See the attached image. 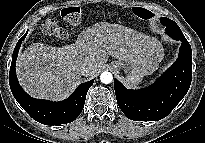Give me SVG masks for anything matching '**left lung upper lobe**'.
Masks as SVG:
<instances>
[{
    "instance_id": "obj_1",
    "label": "left lung upper lobe",
    "mask_w": 205,
    "mask_h": 143,
    "mask_svg": "<svg viewBox=\"0 0 205 143\" xmlns=\"http://www.w3.org/2000/svg\"><path fill=\"white\" fill-rule=\"evenodd\" d=\"M160 21H161V24L164 26H175L176 24L173 20H170L165 17L161 18Z\"/></svg>"
}]
</instances>
